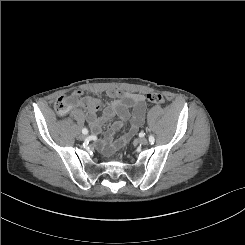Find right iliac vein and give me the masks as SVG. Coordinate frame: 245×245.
Masks as SVG:
<instances>
[{"label":"right iliac vein","instance_id":"1","mask_svg":"<svg viewBox=\"0 0 245 245\" xmlns=\"http://www.w3.org/2000/svg\"><path fill=\"white\" fill-rule=\"evenodd\" d=\"M79 138H80L81 140H84V139H86V136H85V134H81V135L79 136Z\"/></svg>","mask_w":245,"mask_h":245}]
</instances>
